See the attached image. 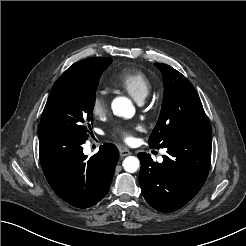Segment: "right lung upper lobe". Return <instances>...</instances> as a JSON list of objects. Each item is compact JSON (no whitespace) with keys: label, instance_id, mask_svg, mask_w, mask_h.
<instances>
[{"label":"right lung upper lobe","instance_id":"obj_1","mask_svg":"<svg viewBox=\"0 0 246 246\" xmlns=\"http://www.w3.org/2000/svg\"><path fill=\"white\" fill-rule=\"evenodd\" d=\"M87 61H88L87 59H84V60H82V61H79V62L74 63V64H73L66 72H64L63 74H68V73H70V72H73V71H75V70H77V69L82 68V67L85 65V63H86Z\"/></svg>","mask_w":246,"mask_h":246}]
</instances>
